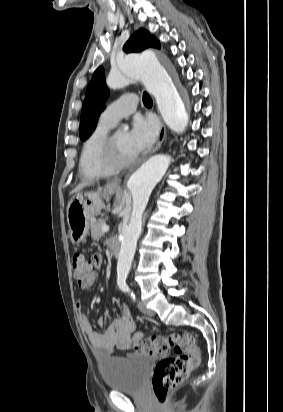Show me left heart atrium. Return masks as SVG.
I'll return each instance as SVG.
<instances>
[{
    "mask_svg": "<svg viewBox=\"0 0 283 412\" xmlns=\"http://www.w3.org/2000/svg\"><path fill=\"white\" fill-rule=\"evenodd\" d=\"M158 123L154 117L138 116L129 132L130 144L136 154L149 148L156 140Z\"/></svg>",
    "mask_w": 283,
    "mask_h": 412,
    "instance_id": "left-heart-atrium-1",
    "label": "left heart atrium"
}]
</instances>
